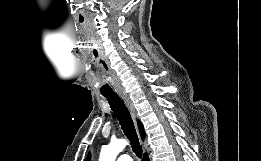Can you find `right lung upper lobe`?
<instances>
[{"instance_id": "cb5924a9", "label": "right lung upper lobe", "mask_w": 261, "mask_h": 161, "mask_svg": "<svg viewBox=\"0 0 261 161\" xmlns=\"http://www.w3.org/2000/svg\"><path fill=\"white\" fill-rule=\"evenodd\" d=\"M138 126H139L141 137L144 138L146 134H145L144 128H143L140 121H138ZM86 161H91V154L90 153L88 154Z\"/></svg>"}]
</instances>
